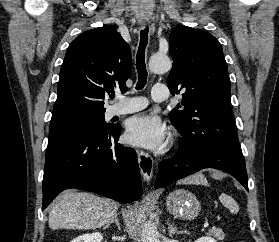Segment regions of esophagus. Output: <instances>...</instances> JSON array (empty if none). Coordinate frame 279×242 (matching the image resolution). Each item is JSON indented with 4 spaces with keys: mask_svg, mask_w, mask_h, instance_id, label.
<instances>
[{
    "mask_svg": "<svg viewBox=\"0 0 279 242\" xmlns=\"http://www.w3.org/2000/svg\"><path fill=\"white\" fill-rule=\"evenodd\" d=\"M139 25L141 28H144L147 25V22L140 21ZM137 155H138V164H139V168L143 180L149 183L153 176V164H154L153 159L148 153L144 151H138Z\"/></svg>",
    "mask_w": 279,
    "mask_h": 242,
    "instance_id": "esophagus-1",
    "label": "esophagus"
}]
</instances>
